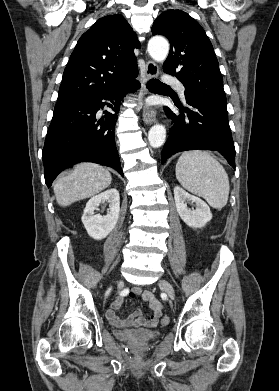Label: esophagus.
I'll list each match as a JSON object with an SVG mask.
<instances>
[{
    "label": "esophagus",
    "mask_w": 279,
    "mask_h": 391,
    "mask_svg": "<svg viewBox=\"0 0 279 391\" xmlns=\"http://www.w3.org/2000/svg\"><path fill=\"white\" fill-rule=\"evenodd\" d=\"M145 74L147 79H155L159 74L158 66L153 61H148L145 66ZM156 120V110L150 107H146L143 113V121L145 124L150 125Z\"/></svg>",
    "instance_id": "esophagus-1"
}]
</instances>
